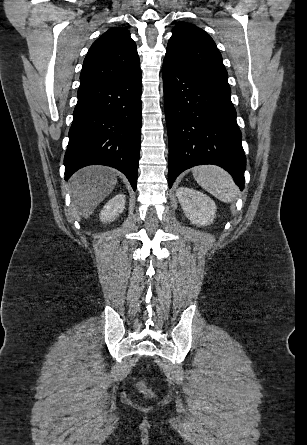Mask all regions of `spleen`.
<instances>
[{
	"label": "spleen",
	"instance_id": "1",
	"mask_svg": "<svg viewBox=\"0 0 307 445\" xmlns=\"http://www.w3.org/2000/svg\"><path fill=\"white\" fill-rule=\"evenodd\" d=\"M192 172L195 180L207 192L217 196L223 202H232L237 186L227 170L214 164H203V166H194Z\"/></svg>",
	"mask_w": 307,
	"mask_h": 445
}]
</instances>
